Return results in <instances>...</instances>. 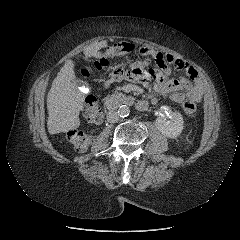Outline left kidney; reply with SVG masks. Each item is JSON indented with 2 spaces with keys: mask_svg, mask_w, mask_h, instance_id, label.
<instances>
[{
  "mask_svg": "<svg viewBox=\"0 0 240 240\" xmlns=\"http://www.w3.org/2000/svg\"><path fill=\"white\" fill-rule=\"evenodd\" d=\"M183 123V117L179 112L173 111L167 106H163L159 110L155 126L166 137L176 138L183 130Z\"/></svg>",
  "mask_w": 240,
  "mask_h": 240,
  "instance_id": "left-kidney-1",
  "label": "left kidney"
}]
</instances>
